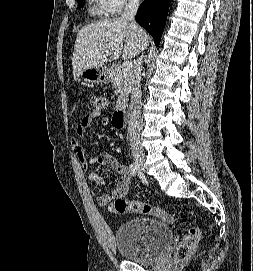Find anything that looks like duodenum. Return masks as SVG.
<instances>
[{"instance_id":"1","label":"duodenum","mask_w":253,"mask_h":271,"mask_svg":"<svg viewBox=\"0 0 253 271\" xmlns=\"http://www.w3.org/2000/svg\"><path fill=\"white\" fill-rule=\"evenodd\" d=\"M113 124L117 128H124L127 125V113L124 108H118L113 114Z\"/></svg>"}]
</instances>
